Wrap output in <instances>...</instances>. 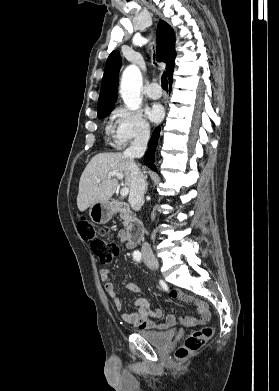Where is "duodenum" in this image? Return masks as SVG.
<instances>
[{"instance_id": "410a0bca", "label": "duodenum", "mask_w": 279, "mask_h": 391, "mask_svg": "<svg viewBox=\"0 0 279 391\" xmlns=\"http://www.w3.org/2000/svg\"><path fill=\"white\" fill-rule=\"evenodd\" d=\"M109 209L113 213H124L128 218V242L131 247L138 244L144 233V226L140 219L129 214V205L125 202L111 200L109 202Z\"/></svg>"}]
</instances>
